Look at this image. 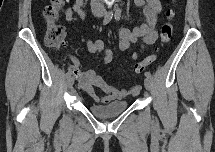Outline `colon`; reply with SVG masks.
Segmentation results:
<instances>
[{"instance_id":"1","label":"colon","mask_w":215,"mask_h":152,"mask_svg":"<svg viewBox=\"0 0 215 152\" xmlns=\"http://www.w3.org/2000/svg\"><path fill=\"white\" fill-rule=\"evenodd\" d=\"M65 3V0H51L49 4L45 7L43 16L46 21V32H45V42L46 45L58 49L60 48L65 39V28L57 23L59 13ZM175 12L173 9L167 11V20L162 25L160 30V44L164 45L171 40L173 33V19ZM155 60V55L148 56L145 60L137 62L133 66V71L136 74H141L144 72L146 67ZM71 71L77 75L78 70L75 67H71Z\"/></svg>"}]
</instances>
